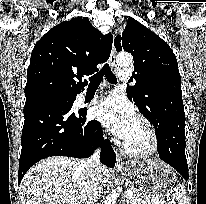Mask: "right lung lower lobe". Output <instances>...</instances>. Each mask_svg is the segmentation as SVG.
<instances>
[{
    "mask_svg": "<svg viewBox=\"0 0 206 204\" xmlns=\"http://www.w3.org/2000/svg\"><path fill=\"white\" fill-rule=\"evenodd\" d=\"M76 95L63 98L38 97L26 101L18 179L41 159L50 156L89 157L102 144L101 162L114 167L116 155L103 139L98 121H86V112H73Z\"/></svg>",
    "mask_w": 206,
    "mask_h": 204,
    "instance_id": "1",
    "label": "right lung lower lobe"
}]
</instances>
